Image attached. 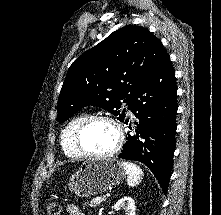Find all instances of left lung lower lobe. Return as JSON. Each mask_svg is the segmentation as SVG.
Wrapping results in <instances>:
<instances>
[{"label": "left lung lower lobe", "instance_id": "left-lung-lower-lobe-1", "mask_svg": "<svg viewBox=\"0 0 221 215\" xmlns=\"http://www.w3.org/2000/svg\"><path fill=\"white\" fill-rule=\"evenodd\" d=\"M176 97L175 72L168 56L130 101L128 108L139 122H135L136 135H127L119 154V158L139 161L149 167L165 194L175 150Z\"/></svg>", "mask_w": 221, "mask_h": 215}]
</instances>
